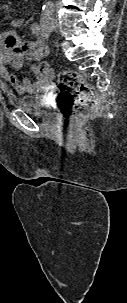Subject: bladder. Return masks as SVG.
<instances>
[{"label": "bladder", "instance_id": "bladder-1", "mask_svg": "<svg viewBox=\"0 0 127 303\" xmlns=\"http://www.w3.org/2000/svg\"><path fill=\"white\" fill-rule=\"evenodd\" d=\"M8 101L11 107L26 111L33 115H48L49 111L40 95L22 94L10 95Z\"/></svg>", "mask_w": 127, "mask_h": 303}]
</instances>
